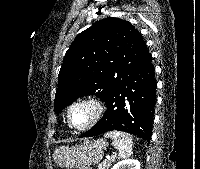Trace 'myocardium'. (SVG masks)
Listing matches in <instances>:
<instances>
[{
    "mask_svg": "<svg viewBox=\"0 0 200 169\" xmlns=\"http://www.w3.org/2000/svg\"><path fill=\"white\" fill-rule=\"evenodd\" d=\"M82 105L89 106L91 108L92 116L86 124H84L82 126H76L72 122L71 113L75 107L82 106ZM104 111H105V105L100 98H98L97 96H94V95L82 96V97L75 99L68 106L67 121H68L70 127L73 128L74 130L85 131V130H88V129L92 128L93 126H95L101 120V118L104 114Z\"/></svg>",
    "mask_w": 200,
    "mask_h": 169,
    "instance_id": "f54148a6",
    "label": "myocardium"
}]
</instances>
